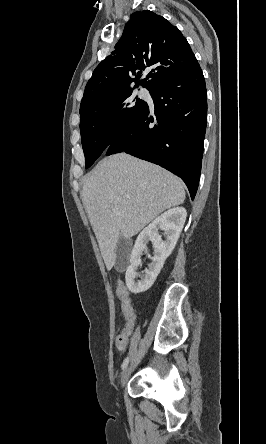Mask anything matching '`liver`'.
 <instances>
[{"label":"liver","instance_id":"liver-1","mask_svg":"<svg viewBox=\"0 0 266 444\" xmlns=\"http://www.w3.org/2000/svg\"><path fill=\"white\" fill-rule=\"evenodd\" d=\"M82 200L110 271L116 263L119 237L131 238L160 213L182 204L185 190L165 169L119 153L104 158L91 171Z\"/></svg>","mask_w":266,"mask_h":444}]
</instances>
